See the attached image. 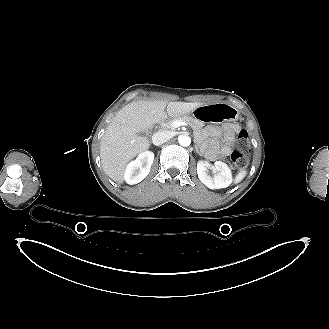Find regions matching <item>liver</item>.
I'll return each mask as SVG.
<instances>
[{"label": "liver", "mask_w": 329, "mask_h": 329, "mask_svg": "<svg viewBox=\"0 0 329 329\" xmlns=\"http://www.w3.org/2000/svg\"><path fill=\"white\" fill-rule=\"evenodd\" d=\"M202 105L201 102L139 100L121 108L101 138L100 156L104 172L122 184L128 162L150 147V142L140 132L151 129L167 117L175 118L192 113Z\"/></svg>", "instance_id": "obj_1"}]
</instances>
